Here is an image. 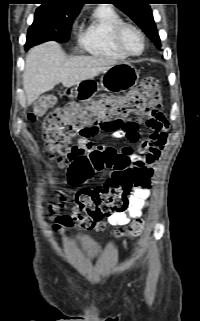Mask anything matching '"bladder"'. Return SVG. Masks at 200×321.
Segmentation results:
<instances>
[{"mask_svg": "<svg viewBox=\"0 0 200 321\" xmlns=\"http://www.w3.org/2000/svg\"><path fill=\"white\" fill-rule=\"evenodd\" d=\"M72 244L78 252L91 258L97 256L102 251L101 244L94 238L87 235H74L72 238Z\"/></svg>", "mask_w": 200, "mask_h": 321, "instance_id": "bladder-1", "label": "bladder"}]
</instances>
